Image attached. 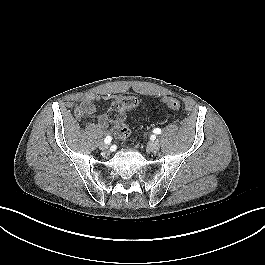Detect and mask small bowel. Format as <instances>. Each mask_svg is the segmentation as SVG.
Masks as SVG:
<instances>
[{
    "label": "small bowel",
    "mask_w": 265,
    "mask_h": 265,
    "mask_svg": "<svg viewBox=\"0 0 265 265\" xmlns=\"http://www.w3.org/2000/svg\"><path fill=\"white\" fill-rule=\"evenodd\" d=\"M100 100V96L96 94H87L81 98V107L86 108L88 113L95 111V103ZM164 100V99H163ZM97 125L105 128L107 126V119L104 114L97 117Z\"/></svg>",
    "instance_id": "1"
}]
</instances>
